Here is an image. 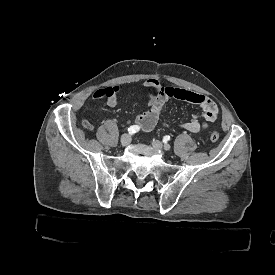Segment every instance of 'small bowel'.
<instances>
[{
    "instance_id": "small-bowel-1",
    "label": "small bowel",
    "mask_w": 275,
    "mask_h": 275,
    "mask_svg": "<svg viewBox=\"0 0 275 275\" xmlns=\"http://www.w3.org/2000/svg\"><path fill=\"white\" fill-rule=\"evenodd\" d=\"M155 83L159 85L160 82L157 78H151L144 83L145 87ZM162 92L159 96L151 99L149 103V108L147 111L139 114L135 118V123L143 131H151L157 125L162 109L165 103L170 99H178L186 102L197 103L202 108L201 118L199 116H194L190 121L182 123L181 128L189 131L191 133H198L202 130H205L213 123L218 116V107L217 105L208 97L195 93L191 90L177 87H165L160 88ZM103 98V90H99L94 93L92 100H97ZM107 105L109 107H115L118 104V97L116 93L107 98ZM82 125L87 130H93L94 125L92 123H87L84 120ZM165 127H170L169 123H164Z\"/></svg>"
}]
</instances>
